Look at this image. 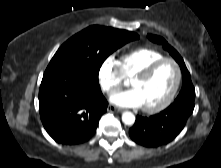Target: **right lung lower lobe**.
<instances>
[{"mask_svg": "<svg viewBox=\"0 0 221 168\" xmlns=\"http://www.w3.org/2000/svg\"><path fill=\"white\" fill-rule=\"evenodd\" d=\"M107 106L98 79L89 73L46 69L39 89V112L56 142L73 145L89 140Z\"/></svg>", "mask_w": 221, "mask_h": 168, "instance_id": "98d812e1", "label": "right lung lower lobe"}]
</instances>
